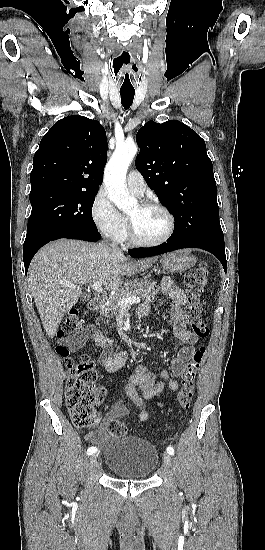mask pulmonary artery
I'll return each instance as SVG.
<instances>
[{
    "instance_id": "1",
    "label": "pulmonary artery",
    "mask_w": 265,
    "mask_h": 550,
    "mask_svg": "<svg viewBox=\"0 0 265 550\" xmlns=\"http://www.w3.org/2000/svg\"><path fill=\"white\" fill-rule=\"evenodd\" d=\"M126 184L128 190L136 196H142L146 190V183L142 175L136 170L129 172L126 178Z\"/></svg>"
}]
</instances>
